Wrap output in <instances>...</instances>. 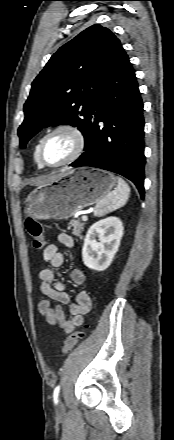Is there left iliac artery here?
Masks as SVG:
<instances>
[{
  "label": "left iliac artery",
  "mask_w": 174,
  "mask_h": 440,
  "mask_svg": "<svg viewBox=\"0 0 174 440\" xmlns=\"http://www.w3.org/2000/svg\"><path fill=\"white\" fill-rule=\"evenodd\" d=\"M59 391H60V386L58 385V386L54 389V392H53V400H54V403H55V404H57V402H58Z\"/></svg>",
  "instance_id": "1"
}]
</instances>
